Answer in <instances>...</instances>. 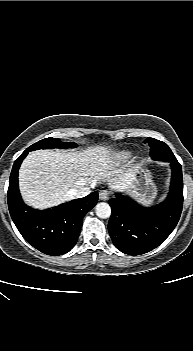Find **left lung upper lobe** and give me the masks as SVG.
I'll return each instance as SVG.
<instances>
[{"label":"left lung upper lobe","instance_id":"left-lung-upper-lobe-1","mask_svg":"<svg viewBox=\"0 0 193 351\" xmlns=\"http://www.w3.org/2000/svg\"><path fill=\"white\" fill-rule=\"evenodd\" d=\"M144 143H148L150 146V156L152 159L157 161H170L175 159L171 149L162 141L154 138H147Z\"/></svg>","mask_w":193,"mask_h":351}]
</instances>
